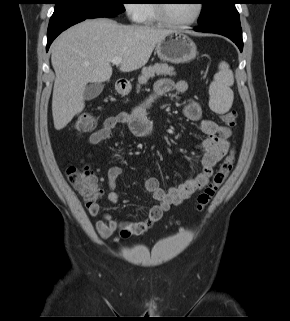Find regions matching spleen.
<instances>
[{
  "mask_svg": "<svg viewBox=\"0 0 290 321\" xmlns=\"http://www.w3.org/2000/svg\"><path fill=\"white\" fill-rule=\"evenodd\" d=\"M233 84V72L227 63L221 62L219 71L214 75V80L209 87V107L212 111L219 114L229 111L234 98L230 88Z\"/></svg>",
  "mask_w": 290,
  "mask_h": 321,
  "instance_id": "spleen-1",
  "label": "spleen"
}]
</instances>
